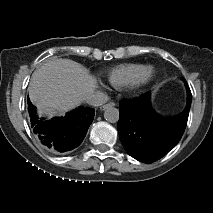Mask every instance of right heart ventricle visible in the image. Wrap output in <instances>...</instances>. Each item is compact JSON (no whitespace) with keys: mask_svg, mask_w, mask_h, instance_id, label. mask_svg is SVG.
<instances>
[{"mask_svg":"<svg viewBox=\"0 0 213 213\" xmlns=\"http://www.w3.org/2000/svg\"><path fill=\"white\" fill-rule=\"evenodd\" d=\"M139 63H125L112 68L108 73V81L115 88L128 86L145 69Z\"/></svg>","mask_w":213,"mask_h":213,"instance_id":"right-heart-ventricle-1","label":"right heart ventricle"}]
</instances>
